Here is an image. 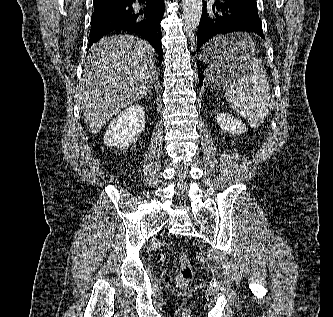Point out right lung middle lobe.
I'll return each mask as SVG.
<instances>
[{"instance_id": "right-lung-middle-lobe-1", "label": "right lung middle lobe", "mask_w": 333, "mask_h": 317, "mask_svg": "<svg viewBox=\"0 0 333 317\" xmlns=\"http://www.w3.org/2000/svg\"><path fill=\"white\" fill-rule=\"evenodd\" d=\"M95 4H101V3H104V2H94Z\"/></svg>"}]
</instances>
